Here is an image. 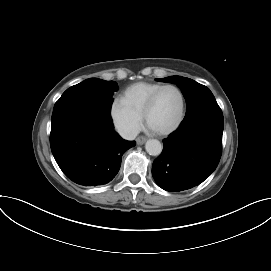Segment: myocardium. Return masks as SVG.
<instances>
[{
	"instance_id": "f54148a6",
	"label": "myocardium",
	"mask_w": 271,
	"mask_h": 271,
	"mask_svg": "<svg viewBox=\"0 0 271 271\" xmlns=\"http://www.w3.org/2000/svg\"><path fill=\"white\" fill-rule=\"evenodd\" d=\"M166 89H174L177 91V93L179 94V97H180L181 105H180V113H179V116H178L177 120L175 121V123L171 127L167 128L165 130L156 131L159 135H163V136L169 135V134L173 133L174 131H176L185 118L186 100H185V96H184V93L182 92V90L178 86L173 85V84L163 85L162 87L157 89L150 96V98L148 99V101L146 102V104L144 106L143 113H142V116H143L145 122L148 123V116H149L151 110L155 106V103H156L158 97L160 96V94Z\"/></svg>"
}]
</instances>
